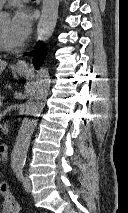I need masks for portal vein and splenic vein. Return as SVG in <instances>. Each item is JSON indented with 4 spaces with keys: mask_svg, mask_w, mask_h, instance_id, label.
I'll return each mask as SVG.
<instances>
[{
    "mask_svg": "<svg viewBox=\"0 0 128 213\" xmlns=\"http://www.w3.org/2000/svg\"><path fill=\"white\" fill-rule=\"evenodd\" d=\"M3 106V102L2 101H0V107H2Z\"/></svg>",
    "mask_w": 128,
    "mask_h": 213,
    "instance_id": "obj_1",
    "label": "portal vein and splenic vein"
}]
</instances>
